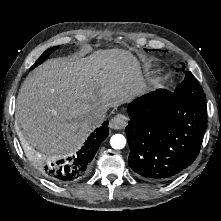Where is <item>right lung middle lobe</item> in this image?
<instances>
[{
	"mask_svg": "<svg viewBox=\"0 0 221 221\" xmlns=\"http://www.w3.org/2000/svg\"><path fill=\"white\" fill-rule=\"evenodd\" d=\"M57 48H58V46L52 47V48L46 50V51L38 58V60L35 62V64H34L30 69H33V68L37 67L39 64H41L42 62H44V61L46 60V58H47L53 51H55Z\"/></svg>",
	"mask_w": 221,
	"mask_h": 221,
	"instance_id": "obj_1",
	"label": "right lung middle lobe"
}]
</instances>
